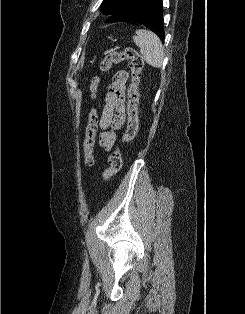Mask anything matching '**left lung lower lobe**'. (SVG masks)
Listing matches in <instances>:
<instances>
[{
  "label": "left lung lower lobe",
  "mask_w": 245,
  "mask_h": 314,
  "mask_svg": "<svg viewBox=\"0 0 245 314\" xmlns=\"http://www.w3.org/2000/svg\"><path fill=\"white\" fill-rule=\"evenodd\" d=\"M162 9V0H146L130 21L146 26L164 41Z\"/></svg>",
  "instance_id": "0a47b994"
}]
</instances>
